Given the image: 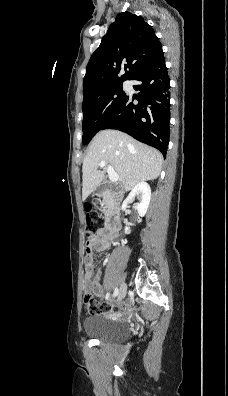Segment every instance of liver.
Returning <instances> with one entry per match:
<instances>
[{"mask_svg": "<svg viewBox=\"0 0 228 396\" xmlns=\"http://www.w3.org/2000/svg\"><path fill=\"white\" fill-rule=\"evenodd\" d=\"M111 165L125 191L140 182L156 179L162 169V154L146 144L118 130H102L92 139L82 166L83 201L101 184L106 167L99 171V163Z\"/></svg>", "mask_w": 228, "mask_h": 396, "instance_id": "6515ba94", "label": "liver"}]
</instances>
